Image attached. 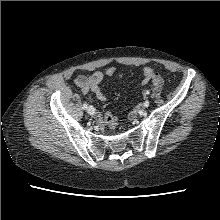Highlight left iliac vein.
<instances>
[{
	"instance_id": "1",
	"label": "left iliac vein",
	"mask_w": 220,
	"mask_h": 220,
	"mask_svg": "<svg viewBox=\"0 0 220 220\" xmlns=\"http://www.w3.org/2000/svg\"><path fill=\"white\" fill-rule=\"evenodd\" d=\"M143 106H144V108L148 107V106H145V105H143Z\"/></svg>"
}]
</instances>
